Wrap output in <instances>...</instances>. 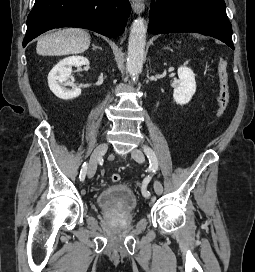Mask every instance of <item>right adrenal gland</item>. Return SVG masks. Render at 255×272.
<instances>
[{
    "instance_id": "2a0ac1e0",
    "label": "right adrenal gland",
    "mask_w": 255,
    "mask_h": 272,
    "mask_svg": "<svg viewBox=\"0 0 255 272\" xmlns=\"http://www.w3.org/2000/svg\"><path fill=\"white\" fill-rule=\"evenodd\" d=\"M100 49V50H102V48L101 47H97V46H95L94 44H93V50H95V49Z\"/></svg>"
}]
</instances>
